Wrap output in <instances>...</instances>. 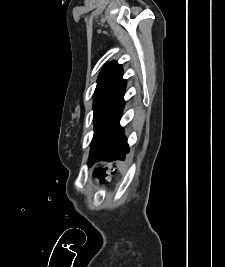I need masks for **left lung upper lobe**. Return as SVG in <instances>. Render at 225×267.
<instances>
[{"mask_svg":"<svg viewBox=\"0 0 225 267\" xmlns=\"http://www.w3.org/2000/svg\"><path fill=\"white\" fill-rule=\"evenodd\" d=\"M120 64H105L97 80L94 93V136L91 142L89 166L103 147L118 114L126 88Z\"/></svg>","mask_w":225,"mask_h":267,"instance_id":"left-lung-upper-lobe-1","label":"left lung upper lobe"}]
</instances>
